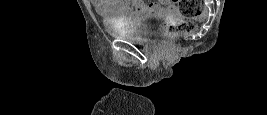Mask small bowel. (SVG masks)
I'll use <instances>...</instances> for the list:
<instances>
[{
    "mask_svg": "<svg viewBox=\"0 0 267 115\" xmlns=\"http://www.w3.org/2000/svg\"><path fill=\"white\" fill-rule=\"evenodd\" d=\"M96 12L120 20H137L147 13L170 15L176 7L170 1L145 3L142 0H91Z\"/></svg>",
    "mask_w": 267,
    "mask_h": 115,
    "instance_id": "1",
    "label": "small bowel"
}]
</instances>
